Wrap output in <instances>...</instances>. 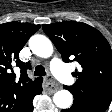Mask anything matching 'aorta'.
Listing matches in <instances>:
<instances>
[{
    "label": "aorta",
    "mask_w": 112,
    "mask_h": 112,
    "mask_svg": "<svg viewBox=\"0 0 112 112\" xmlns=\"http://www.w3.org/2000/svg\"><path fill=\"white\" fill-rule=\"evenodd\" d=\"M29 47L35 55L42 58H48L53 53V45L44 35H33L29 40ZM53 102L58 108L67 109L72 105L73 96L67 90H60L54 94Z\"/></svg>",
    "instance_id": "762f6f07"
}]
</instances>
